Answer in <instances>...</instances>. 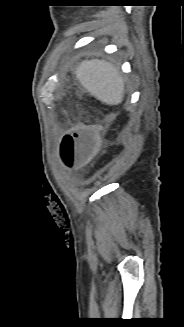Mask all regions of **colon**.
I'll return each mask as SVG.
<instances>
[{"label": "colon", "mask_w": 184, "mask_h": 327, "mask_svg": "<svg viewBox=\"0 0 184 327\" xmlns=\"http://www.w3.org/2000/svg\"><path fill=\"white\" fill-rule=\"evenodd\" d=\"M101 144L95 133L86 127H79L64 135L59 147L63 164L72 168L76 163H83L97 155Z\"/></svg>", "instance_id": "1"}]
</instances>
